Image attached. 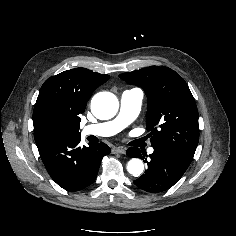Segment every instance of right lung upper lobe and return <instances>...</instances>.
Segmentation results:
<instances>
[{
    "label": "right lung upper lobe",
    "instance_id": "obj_1",
    "mask_svg": "<svg viewBox=\"0 0 236 236\" xmlns=\"http://www.w3.org/2000/svg\"><path fill=\"white\" fill-rule=\"evenodd\" d=\"M86 68H75L48 78L33 111L36 144L60 136L81 135L80 117L92 92L109 80Z\"/></svg>",
    "mask_w": 236,
    "mask_h": 236
}]
</instances>
